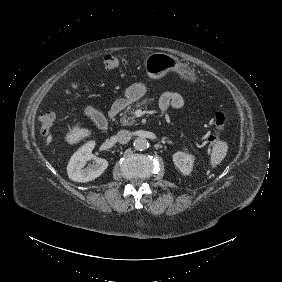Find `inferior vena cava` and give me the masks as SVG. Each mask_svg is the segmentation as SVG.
Segmentation results:
<instances>
[{
  "label": "inferior vena cava",
  "instance_id": "1",
  "mask_svg": "<svg viewBox=\"0 0 282 282\" xmlns=\"http://www.w3.org/2000/svg\"><path fill=\"white\" fill-rule=\"evenodd\" d=\"M115 137L118 143L126 144L131 140V133L128 130H120Z\"/></svg>",
  "mask_w": 282,
  "mask_h": 282
}]
</instances>
